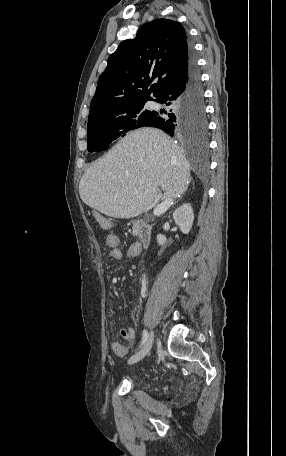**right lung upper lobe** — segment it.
I'll use <instances>...</instances> for the list:
<instances>
[{"label":"right lung upper lobe","instance_id":"obj_1","mask_svg":"<svg viewBox=\"0 0 286 456\" xmlns=\"http://www.w3.org/2000/svg\"><path fill=\"white\" fill-rule=\"evenodd\" d=\"M191 55L180 23L157 19L144 24L108 58L88 120L109 107L159 96L186 76Z\"/></svg>","mask_w":286,"mask_h":456}]
</instances>
